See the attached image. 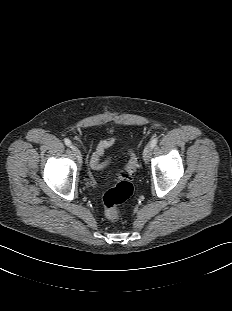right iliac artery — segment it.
<instances>
[{"label": "right iliac artery", "mask_w": 232, "mask_h": 311, "mask_svg": "<svg viewBox=\"0 0 232 311\" xmlns=\"http://www.w3.org/2000/svg\"><path fill=\"white\" fill-rule=\"evenodd\" d=\"M64 142L67 146L71 147L72 143L69 139H65Z\"/></svg>", "instance_id": "82829eb1"}]
</instances>
